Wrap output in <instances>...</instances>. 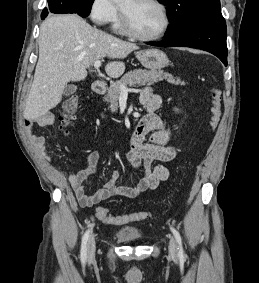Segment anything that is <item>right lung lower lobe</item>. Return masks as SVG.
<instances>
[{
    "instance_id": "98d812e1",
    "label": "right lung lower lobe",
    "mask_w": 259,
    "mask_h": 283,
    "mask_svg": "<svg viewBox=\"0 0 259 283\" xmlns=\"http://www.w3.org/2000/svg\"><path fill=\"white\" fill-rule=\"evenodd\" d=\"M48 7L44 8L41 18L44 19L48 13L64 14V13H77L80 16H85L81 12L83 8L82 0H47Z\"/></svg>"
}]
</instances>
